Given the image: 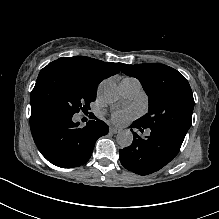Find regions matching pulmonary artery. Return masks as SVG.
I'll return each instance as SVG.
<instances>
[{"label":"pulmonary artery","instance_id":"pulmonary-artery-1","mask_svg":"<svg viewBox=\"0 0 219 219\" xmlns=\"http://www.w3.org/2000/svg\"><path fill=\"white\" fill-rule=\"evenodd\" d=\"M122 96L126 99H134L140 91V84L135 79H124L120 83Z\"/></svg>","mask_w":219,"mask_h":219}]
</instances>
